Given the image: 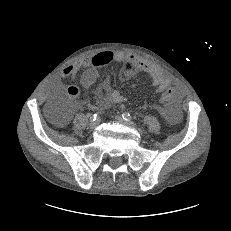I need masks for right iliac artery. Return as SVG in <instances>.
Wrapping results in <instances>:
<instances>
[{
  "mask_svg": "<svg viewBox=\"0 0 231 231\" xmlns=\"http://www.w3.org/2000/svg\"><path fill=\"white\" fill-rule=\"evenodd\" d=\"M98 118V114L94 113L91 115L90 120L95 121Z\"/></svg>",
  "mask_w": 231,
  "mask_h": 231,
  "instance_id": "1",
  "label": "right iliac artery"
}]
</instances>
